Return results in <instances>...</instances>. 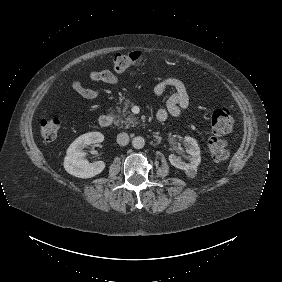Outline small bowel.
<instances>
[{"mask_svg":"<svg viewBox=\"0 0 282 282\" xmlns=\"http://www.w3.org/2000/svg\"><path fill=\"white\" fill-rule=\"evenodd\" d=\"M88 78L94 82H102L107 85H118L119 77L108 69L90 70ZM72 88L85 99H94L100 95L99 90L88 89L79 79H73ZM172 89L173 94L168 98L166 106L156 113L158 121H166L169 116L182 117L189 104V93L184 82L177 77H166L153 86V92L157 96L163 95L166 90Z\"/></svg>","mask_w":282,"mask_h":282,"instance_id":"c3829d8e","label":"small bowel"}]
</instances>
